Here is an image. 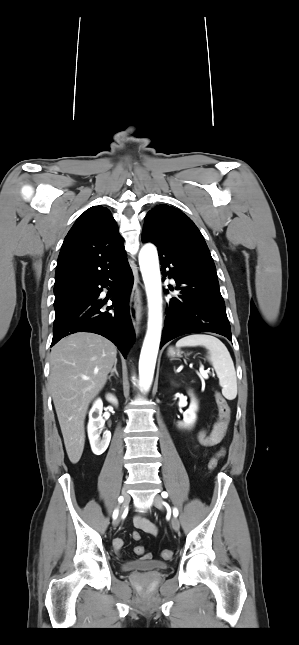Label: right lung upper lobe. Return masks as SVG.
<instances>
[{
    "label": "right lung upper lobe",
    "instance_id": "obj_1",
    "mask_svg": "<svg viewBox=\"0 0 299 645\" xmlns=\"http://www.w3.org/2000/svg\"><path fill=\"white\" fill-rule=\"evenodd\" d=\"M126 259L124 241L109 209L93 206L74 223L57 261L54 291L84 285Z\"/></svg>",
    "mask_w": 299,
    "mask_h": 645
}]
</instances>
